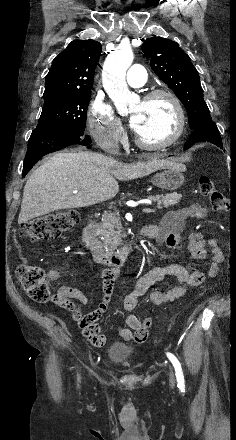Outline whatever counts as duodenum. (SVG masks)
<instances>
[{"mask_svg":"<svg viewBox=\"0 0 236 440\" xmlns=\"http://www.w3.org/2000/svg\"><path fill=\"white\" fill-rule=\"evenodd\" d=\"M152 230L153 226L151 225H145L138 228L132 237H130L118 249L113 251H108L103 247V244L97 237L93 218L88 219L85 223L82 230V236L97 264L116 269L124 264L130 253L135 249L137 240L143 237H150Z\"/></svg>","mask_w":236,"mask_h":440,"instance_id":"410a0bca","label":"duodenum"}]
</instances>
